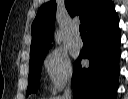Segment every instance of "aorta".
Masks as SVG:
<instances>
[{"label": "aorta", "instance_id": "762f6f07", "mask_svg": "<svg viewBox=\"0 0 128 99\" xmlns=\"http://www.w3.org/2000/svg\"><path fill=\"white\" fill-rule=\"evenodd\" d=\"M55 42H56L57 44H60L61 41H60V38H59L58 36L56 37Z\"/></svg>", "mask_w": 128, "mask_h": 99}]
</instances>
